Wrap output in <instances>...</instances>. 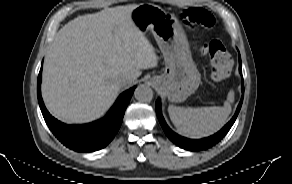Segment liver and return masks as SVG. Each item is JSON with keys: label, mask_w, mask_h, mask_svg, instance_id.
Returning <instances> with one entry per match:
<instances>
[{"label": "liver", "mask_w": 292, "mask_h": 184, "mask_svg": "<svg viewBox=\"0 0 292 184\" xmlns=\"http://www.w3.org/2000/svg\"><path fill=\"white\" fill-rule=\"evenodd\" d=\"M137 6H118L79 16L57 33L43 66L42 97L49 112L65 123L103 116L120 90L141 69L157 65L153 46L131 18Z\"/></svg>", "instance_id": "liver-1"}]
</instances>
